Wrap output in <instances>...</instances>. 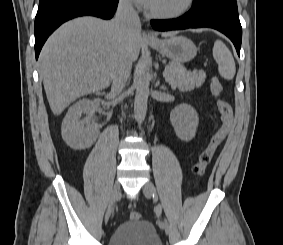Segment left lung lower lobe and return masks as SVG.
<instances>
[{
  "mask_svg": "<svg viewBox=\"0 0 283 245\" xmlns=\"http://www.w3.org/2000/svg\"><path fill=\"white\" fill-rule=\"evenodd\" d=\"M151 24L158 31L200 27L214 28L231 39L238 55H240L242 27L239 21V16L219 12L189 11L176 19L152 20Z\"/></svg>",
  "mask_w": 283,
  "mask_h": 245,
  "instance_id": "1",
  "label": "left lung lower lobe"
}]
</instances>
